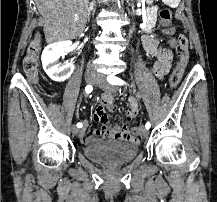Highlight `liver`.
Returning a JSON list of instances; mask_svg holds the SVG:
<instances>
[{
    "mask_svg": "<svg viewBox=\"0 0 217 202\" xmlns=\"http://www.w3.org/2000/svg\"><path fill=\"white\" fill-rule=\"evenodd\" d=\"M35 4L44 18L47 44L75 40L85 30L89 0H35Z\"/></svg>",
    "mask_w": 217,
    "mask_h": 202,
    "instance_id": "1",
    "label": "liver"
}]
</instances>
